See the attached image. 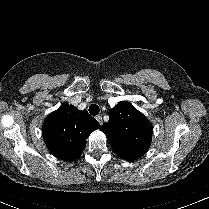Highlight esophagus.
<instances>
[{
	"mask_svg": "<svg viewBox=\"0 0 209 209\" xmlns=\"http://www.w3.org/2000/svg\"><path fill=\"white\" fill-rule=\"evenodd\" d=\"M96 119L98 120V122L100 123V125L103 124L102 116L98 115V116H96Z\"/></svg>",
	"mask_w": 209,
	"mask_h": 209,
	"instance_id": "esophagus-1",
	"label": "esophagus"
}]
</instances>
